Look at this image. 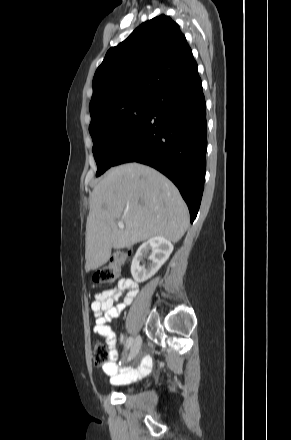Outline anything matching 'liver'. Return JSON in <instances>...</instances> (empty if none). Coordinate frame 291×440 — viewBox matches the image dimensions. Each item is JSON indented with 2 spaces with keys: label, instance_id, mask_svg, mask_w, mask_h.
<instances>
[{
  "label": "liver",
  "instance_id": "1",
  "mask_svg": "<svg viewBox=\"0 0 291 440\" xmlns=\"http://www.w3.org/2000/svg\"><path fill=\"white\" fill-rule=\"evenodd\" d=\"M117 221L125 223L123 229ZM189 213L176 186L155 169L138 163L107 171L94 187L86 224V271L104 265L119 249L160 236L176 243Z\"/></svg>",
  "mask_w": 291,
  "mask_h": 440
}]
</instances>
